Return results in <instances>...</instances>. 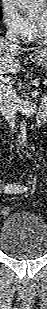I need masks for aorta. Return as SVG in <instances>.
<instances>
[{"mask_svg": "<svg viewBox=\"0 0 47 309\" xmlns=\"http://www.w3.org/2000/svg\"><path fill=\"white\" fill-rule=\"evenodd\" d=\"M17 3H19L27 12L31 11L34 8V0H16ZM31 111L28 109L25 112L26 117L30 115ZM26 121L22 120L20 124V135L19 138L21 139L20 143L25 146L26 145V139H27V133H26Z\"/></svg>", "mask_w": 47, "mask_h": 309, "instance_id": "obj_1", "label": "aorta"}]
</instances>
